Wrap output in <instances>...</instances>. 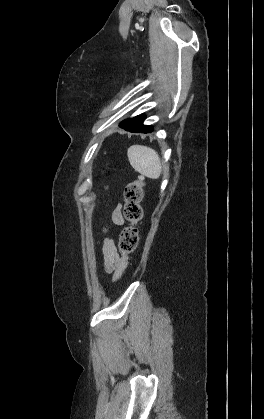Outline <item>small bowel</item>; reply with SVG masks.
Wrapping results in <instances>:
<instances>
[{
    "label": "small bowel",
    "mask_w": 264,
    "mask_h": 419,
    "mask_svg": "<svg viewBox=\"0 0 264 419\" xmlns=\"http://www.w3.org/2000/svg\"><path fill=\"white\" fill-rule=\"evenodd\" d=\"M112 221L115 225H122L124 219L121 213V207L118 206L113 214ZM103 265L107 273L115 272L121 262V255L117 250L113 239L106 238L102 246Z\"/></svg>",
    "instance_id": "1"
}]
</instances>
